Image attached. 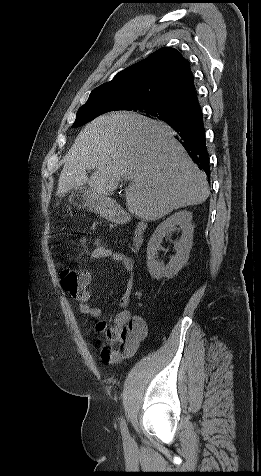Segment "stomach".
Wrapping results in <instances>:
<instances>
[{
  "instance_id": "1",
  "label": "stomach",
  "mask_w": 261,
  "mask_h": 476,
  "mask_svg": "<svg viewBox=\"0 0 261 476\" xmlns=\"http://www.w3.org/2000/svg\"><path fill=\"white\" fill-rule=\"evenodd\" d=\"M69 202L77 208H90L94 212L108 218H113L109 209L111 200L86 187H77L70 191Z\"/></svg>"
}]
</instances>
